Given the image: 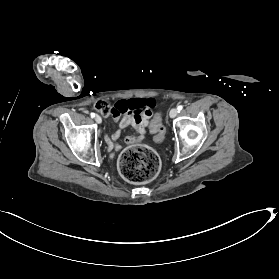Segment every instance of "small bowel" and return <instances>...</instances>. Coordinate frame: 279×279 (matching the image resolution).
Returning <instances> with one entry per match:
<instances>
[{
	"mask_svg": "<svg viewBox=\"0 0 279 279\" xmlns=\"http://www.w3.org/2000/svg\"><path fill=\"white\" fill-rule=\"evenodd\" d=\"M150 101V100H143ZM126 102L121 101L115 104V107L124 105ZM111 116L119 121V130L111 135H106L105 140L108 145V151H119L121 144L119 138L121 136V130L131 126L135 130V134L128 136L124 139V143L132 145L141 142L145 138L146 128L148 126L149 118L152 116V109H146L139 113H122L117 108L111 113Z\"/></svg>",
	"mask_w": 279,
	"mask_h": 279,
	"instance_id": "c3829d8e",
	"label": "small bowel"
}]
</instances>
